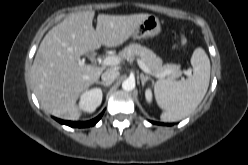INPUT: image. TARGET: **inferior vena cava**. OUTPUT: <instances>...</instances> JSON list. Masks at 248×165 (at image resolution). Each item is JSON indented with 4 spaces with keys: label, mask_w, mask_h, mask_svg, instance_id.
<instances>
[{
    "label": "inferior vena cava",
    "mask_w": 248,
    "mask_h": 165,
    "mask_svg": "<svg viewBox=\"0 0 248 165\" xmlns=\"http://www.w3.org/2000/svg\"><path fill=\"white\" fill-rule=\"evenodd\" d=\"M118 76L119 72L117 70L108 69L102 74L101 78L103 82L111 84L115 79L118 78Z\"/></svg>",
    "instance_id": "obj_1"
}]
</instances>
